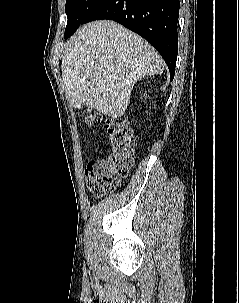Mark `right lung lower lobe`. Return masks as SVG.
<instances>
[{"instance_id": "obj_1", "label": "right lung lower lobe", "mask_w": 239, "mask_h": 303, "mask_svg": "<svg viewBox=\"0 0 239 303\" xmlns=\"http://www.w3.org/2000/svg\"><path fill=\"white\" fill-rule=\"evenodd\" d=\"M179 0H106L84 21L114 20L152 44L165 60L170 80L178 53Z\"/></svg>"}]
</instances>
